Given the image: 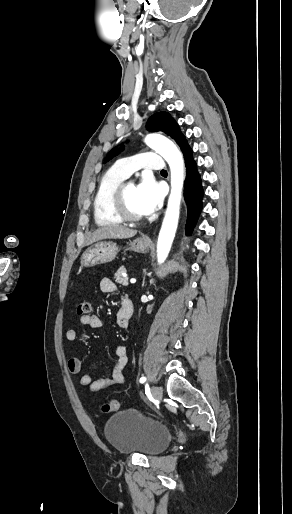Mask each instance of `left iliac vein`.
Wrapping results in <instances>:
<instances>
[{
    "label": "left iliac vein",
    "instance_id": "left-iliac-vein-1",
    "mask_svg": "<svg viewBox=\"0 0 292 514\" xmlns=\"http://www.w3.org/2000/svg\"><path fill=\"white\" fill-rule=\"evenodd\" d=\"M152 396L156 401L160 402L162 399V396H163L162 389L158 386H153L152 387Z\"/></svg>",
    "mask_w": 292,
    "mask_h": 514
}]
</instances>
